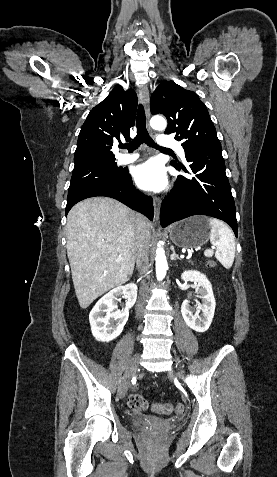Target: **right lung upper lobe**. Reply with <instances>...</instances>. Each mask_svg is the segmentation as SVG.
Masks as SVG:
<instances>
[{
    "label": "right lung upper lobe",
    "mask_w": 277,
    "mask_h": 477,
    "mask_svg": "<svg viewBox=\"0 0 277 477\" xmlns=\"http://www.w3.org/2000/svg\"><path fill=\"white\" fill-rule=\"evenodd\" d=\"M137 101L135 91L117 86L90 111L78 136L74 167L115 160L113 142L120 137L130 139Z\"/></svg>",
    "instance_id": "right-lung-upper-lobe-1"
}]
</instances>
